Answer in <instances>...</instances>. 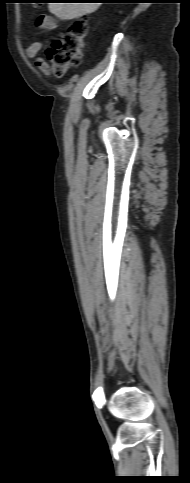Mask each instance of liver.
<instances>
[{
	"instance_id": "obj_1",
	"label": "liver",
	"mask_w": 190,
	"mask_h": 483,
	"mask_svg": "<svg viewBox=\"0 0 190 483\" xmlns=\"http://www.w3.org/2000/svg\"><path fill=\"white\" fill-rule=\"evenodd\" d=\"M101 3H49V10L61 20H71L96 11Z\"/></svg>"
}]
</instances>
